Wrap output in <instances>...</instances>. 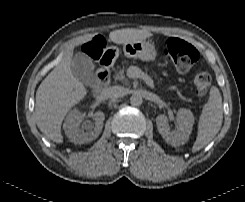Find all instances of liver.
<instances>
[{
  "label": "liver",
  "mask_w": 245,
  "mask_h": 202,
  "mask_svg": "<svg viewBox=\"0 0 245 202\" xmlns=\"http://www.w3.org/2000/svg\"><path fill=\"white\" fill-rule=\"evenodd\" d=\"M95 34L79 36L71 41L61 61L42 81L36 92L35 121L40 131L50 140L63 143L62 121L68 111L86 95L83 83L74 77L71 61L75 47L91 41ZM149 31L120 29L110 32L109 40L116 44L145 40Z\"/></svg>",
  "instance_id": "6515ba94"
}]
</instances>
